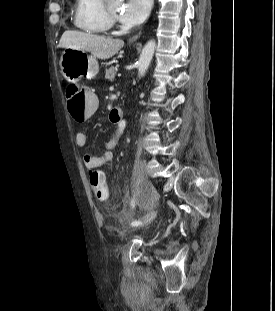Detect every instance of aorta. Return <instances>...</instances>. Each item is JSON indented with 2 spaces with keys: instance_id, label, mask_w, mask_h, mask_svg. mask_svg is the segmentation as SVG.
Segmentation results:
<instances>
[{
  "instance_id": "obj_1",
  "label": "aorta",
  "mask_w": 275,
  "mask_h": 311,
  "mask_svg": "<svg viewBox=\"0 0 275 311\" xmlns=\"http://www.w3.org/2000/svg\"><path fill=\"white\" fill-rule=\"evenodd\" d=\"M110 2H122L123 0H109ZM156 48V42L155 40H149L146 45L144 46L142 53L140 55L139 61H138V75L139 77H143L146 73L150 62L152 60L154 51Z\"/></svg>"
}]
</instances>
